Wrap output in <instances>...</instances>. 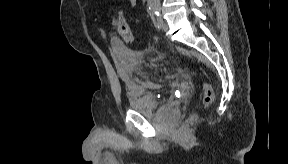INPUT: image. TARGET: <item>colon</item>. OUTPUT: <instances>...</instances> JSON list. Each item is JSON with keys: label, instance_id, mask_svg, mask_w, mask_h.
Instances as JSON below:
<instances>
[{"label": "colon", "instance_id": "colon-1", "mask_svg": "<svg viewBox=\"0 0 288 164\" xmlns=\"http://www.w3.org/2000/svg\"><path fill=\"white\" fill-rule=\"evenodd\" d=\"M111 22L114 29L125 41L131 42L133 40L132 34L128 29L127 22L122 16H111ZM203 103L210 105L214 99V93L210 85L207 83L203 84Z\"/></svg>", "mask_w": 288, "mask_h": 164}]
</instances>
